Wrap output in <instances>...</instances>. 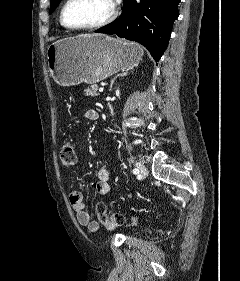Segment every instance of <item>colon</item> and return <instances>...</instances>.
<instances>
[{
	"label": "colon",
	"mask_w": 240,
	"mask_h": 281,
	"mask_svg": "<svg viewBox=\"0 0 240 281\" xmlns=\"http://www.w3.org/2000/svg\"><path fill=\"white\" fill-rule=\"evenodd\" d=\"M59 158L61 164L67 168H74L77 165L78 157L75 148L71 142H65L61 147ZM96 212L99 220L108 228H115L122 224L123 217L118 213L109 214L103 204L96 206Z\"/></svg>",
	"instance_id": "1"
}]
</instances>
